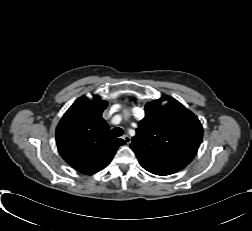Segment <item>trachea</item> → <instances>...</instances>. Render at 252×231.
<instances>
[{"label":"trachea","mask_w":252,"mask_h":231,"mask_svg":"<svg viewBox=\"0 0 252 231\" xmlns=\"http://www.w3.org/2000/svg\"><path fill=\"white\" fill-rule=\"evenodd\" d=\"M112 135L116 136V137L122 136L123 135V129L119 128V127H116L114 129H112Z\"/></svg>","instance_id":"obj_1"}]
</instances>
